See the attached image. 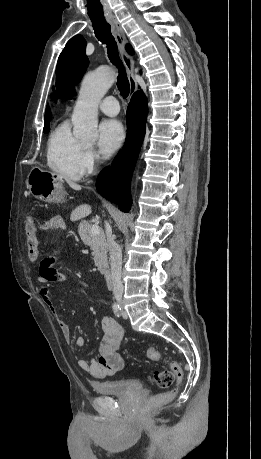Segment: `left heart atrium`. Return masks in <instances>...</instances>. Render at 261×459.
Returning a JSON list of instances; mask_svg holds the SVG:
<instances>
[{
    "label": "left heart atrium",
    "mask_w": 261,
    "mask_h": 459,
    "mask_svg": "<svg viewBox=\"0 0 261 459\" xmlns=\"http://www.w3.org/2000/svg\"><path fill=\"white\" fill-rule=\"evenodd\" d=\"M125 131L118 120L109 119L99 126L98 148L103 158L111 157L122 145Z\"/></svg>",
    "instance_id": "obj_1"
}]
</instances>
